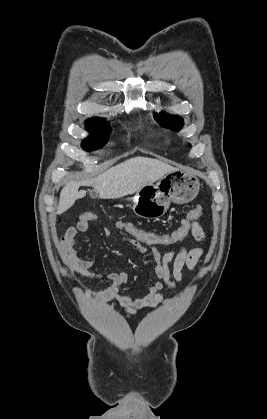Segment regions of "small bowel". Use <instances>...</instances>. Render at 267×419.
I'll list each match as a JSON object with an SVG mask.
<instances>
[{
  "label": "small bowel",
  "instance_id": "1",
  "mask_svg": "<svg viewBox=\"0 0 267 419\" xmlns=\"http://www.w3.org/2000/svg\"><path fill=\"white\" fill-rule=\"evenodd\" d=\"M96 219L97 215L95 213L84 212L66 230L60 241L64 262L71 272H76L91 281H108L110 284L106 289L97 292L84 289L85 294L90 299L112 301V308L120 306L128 314L135 315L143 309H153L168 303L170 299L165 298L162 294L164 286L177 289L178 283L183 278L184 268L193 270L203 254L202 248L187 249L181 247L177 251L168 250L163 252L160 248L147 247L141 244L131 245L138 254L152 256L154 275L157 279L149 288L147 294L133 299L121 294V287L129 280L127 272L113 271L106 275L95 273L92 271L95 261L82 259L78 254L76 244L79 235L86 232L89 225ZM190 231L197 241H201L205 237L204 230L198 221L192 223ZM103 235L109 238L111 237V231L105 228L103 229Z\"/></svg>",
  "mask_w": 267,
  "mask_h": 419
}]
</instances>
